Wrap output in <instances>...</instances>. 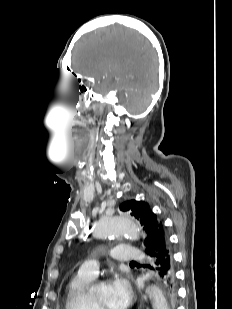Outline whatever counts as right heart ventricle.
I'll return each instance as SVG.
<instances>
[{"label":"right heart ventricle","instance_id":"obj_1","mask_svg":"<svg viewBox=\"0 0 232 309\" xmlns=\"http://www.w3.org/2000/svg\"><path fill=\"white\" fill-rule=\"evenodd\" d=\"M92 277L77 273L69 282L66 289V309H96L88 287Z\"/></svg>","mask_w":232,"mask_h":309}]
</instances>
